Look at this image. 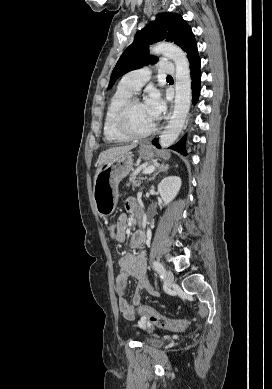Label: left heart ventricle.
<instances>
[{"label": "left heart ventricle", "instance_id": "1", "mask_svg": "<svg viewBox=\"0 0 272 389\" xmlns=\"http://www.w3.org/2000/svg\"><path fill=\"white\" fill-rule=\"evenodd\" d=\"M129 123L134 132L142 133L153 126L154 120L148 113L144 103H138L130 111Z\"/></svg>", "mask_w": 272, "mask_h": 389}]
</instances>
